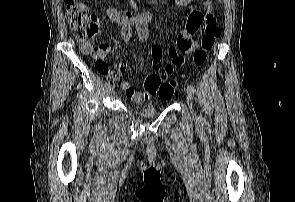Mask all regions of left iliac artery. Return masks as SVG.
Wrapping results in <instances>:
<instances>
[{
	"label": "left iliac artery",
	"mask_w": 295,
	"mask_h": 202,
	"mask_svg": "<svg viewBox=\"0 0 295 202\" xmlns=\"http://www.w3.org/2000/svg\"><path fill=\"white\" fill-rule=\"evenodd\" d=\"M187 90L193 94L196 92L194 86H192V85H188ZM199 118L202 119V116H200Z\"/></svg>",
	"instance_id": "obj_1"
}]
</instances>
